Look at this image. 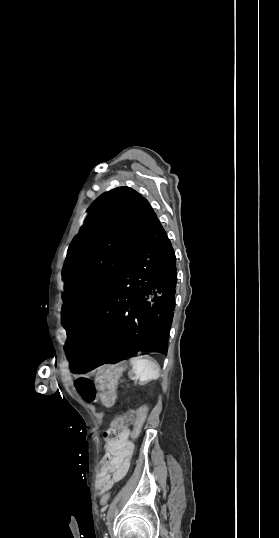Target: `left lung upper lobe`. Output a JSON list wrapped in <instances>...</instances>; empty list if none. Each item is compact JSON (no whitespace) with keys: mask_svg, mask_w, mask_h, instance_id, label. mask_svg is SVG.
<instances>
[{"mask_svg":"<svg viewBox=\"0 0 279 538\" xmlns=\"http://www.w3.org/2000/svg\"><path fill=\"white\" fill-rule=\"evenodd\" d=\"M156 219L148 201L129 187L94 201L63 268L62 325L67 334L90 319Z\"/></svg>","mask_w":279,"mask_h":538,"instance_id":"left-lung-upper-lobe-1","label":"left lung upper lobe"}]
</instances>
